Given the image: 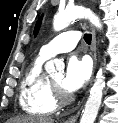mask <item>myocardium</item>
Returning a JSON list of instances; mask_svg holds the SVG:
<instances>
[{"label":"myocardium","mask_w":118,"mask_h":123,"mask_svg":"<svg viewBox=\"0 0 118 123\" xmlns=\"http://www.w3.org/2000/svg\"><path fill=\"white\" fill-rule=\"evenodd\" d=\"M49 83L53 98L55 99L57 104L64 105L72 100V96L60 87H58L51 79H49Z\"/></svg>","instance_id":"obj_1"}]
</instances>
